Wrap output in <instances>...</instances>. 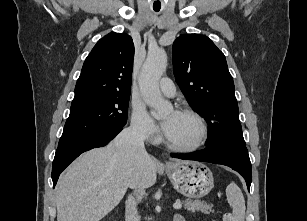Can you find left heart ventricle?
<instances>
[{
    "mask_svg": "<svg viewBox=\"0 0 307 221\" xmlns=\"http://www.w3.org/2000/svg\"><path fill=\"white\" fill-rule=\"evenodd\" d=\"M164 121H171L166 137L173 144L189 145L199 137V125L189 115L179 112H169L164 116Z\"/></svg>",
    "mask_w": 307,
    "mask_h": 221,
    "instance_id": "obj_1",
    "label": "left heart ventricle"
}]
</instances>
